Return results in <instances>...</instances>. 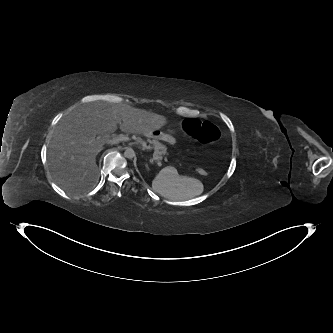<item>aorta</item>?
Returning a JSON list of instances; mask_svg holds the SVG:
<instances>
[{"instance_id":"obj_1","label":"aorta","mask_w":333,"mask_h":333,"mask_svg":"<svg viewBox=\"0 0 333 333\" xmlns=\"http://www.w3.org/2000/svg\"><path fill=\"white\" fill-rule=\"evenodd\" d=\"M124 156L128 159H132L135 157V151L132 148L127 147L124 152Z\"/></svg>"}]
</instances>
